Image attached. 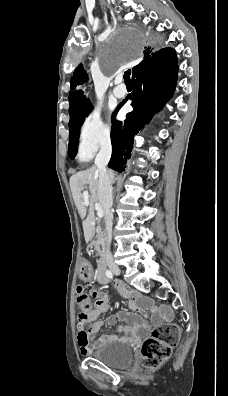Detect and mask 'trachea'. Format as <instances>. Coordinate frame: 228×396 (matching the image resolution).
<instances>
[{"mask_svg":"<svg viewBox=\"0 0 228 396\" xmlns=\"http://www.w3.org/2000/svg\"><path fill=\"white\" fill-rule=\"evenodd\" d=\"M130 75H131V70H127L124 73V80L126 84L132 83L131 79H130Z\"/></svg>","mask_w":228,"mask_h":396,"instance_id":"3493384b","label":"trachea"}]
</instances>
